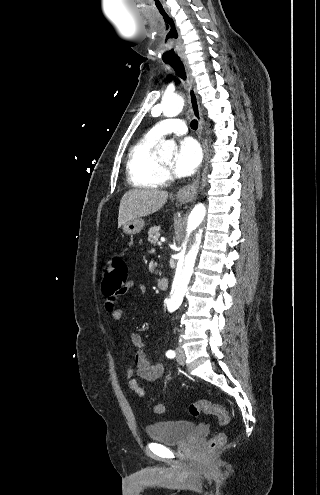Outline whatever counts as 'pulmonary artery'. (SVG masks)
<instances>
[{
    "instance_id": "e3ab8cb5",
    "label": "pulmonary artery",
    "mask_w": 320,
    "mask_h": 495,
    "mask_svg": "<svg viewBox=\"0 0 320 495\" xmlns=\"http://www.w3.org/2000/svg\"><path fill=\"white\" fill-rule=\"evenodd\" d=\"M186 132L187 127L184 121L175 118L165 119L154 125L149 131L151 135L159 139L171 133L183 135Z\"/></svg>"
}]
</instances>
